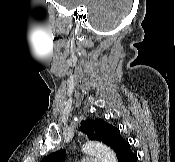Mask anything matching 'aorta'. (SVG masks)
<instances>
[{"label": "aorta", "mask_w": 175, "mask_h": 162, "mask_svg": "<svg viewBox=\"0 0 175 162\" xmlns=\"http://www.w3.org/2000/svg\"><path fill=\"white\" fill-rule=\"evenodd\" d=\"M86 154L95 156L100 162H117L115 153L105 144L98 141H89L83 146Z\"/></svg>", "instance_id": "obj_1"}]
</instances>
